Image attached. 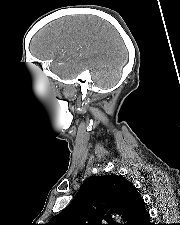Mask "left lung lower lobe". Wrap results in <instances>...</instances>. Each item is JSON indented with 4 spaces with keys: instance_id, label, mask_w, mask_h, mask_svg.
Listing matches in <instances>:
<instances>
[{
    "instance_id": "0a47b994",
    "label": "left lung lower lobe",
    "mask_w": 180,
    "mask_h": 225,
    "mask_svg": "<svg viewBox=\"0 0 180 225\" xmlns=\"http://www.w3.org/2000/svg\"><path fill=\"white\" fill-rule=\"evenodd\" d=\"M149 213L143 207L133 214L125 225H153L150 223Z\"/></svg>"
}]
</instances>
